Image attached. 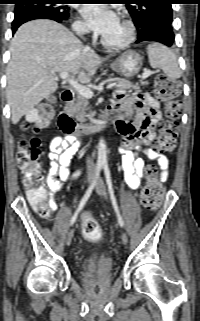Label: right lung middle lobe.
Wrapping results in <instances>:
<instances>
[{"label": "right lung middle lobe", "mask_w": 200, "mask_h": 321, "mask_svg": "<svg viewBox=\"0 0 200 321\" xmlns=\"http://www.w3.org/2000/svg\"><path fill=\"white\" fill-rule=\"evenodd\" d=\"M70 0H23L16 4L15 14L23 11H46L56 15L63 21L69 18Z\"/></svg>", "instance_id": "dd1d6c3e"}]
</instances>
